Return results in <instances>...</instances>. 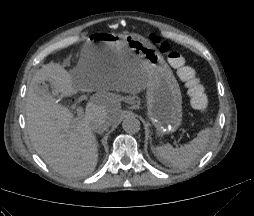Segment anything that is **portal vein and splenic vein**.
<instances>
[{
	"label": "portal vein and splenic vein",
	"mask_w": 254,
	"mask_h": 216,
	"mask_svg": "<svg viewBox=\"0 0 254 216\" xmlns=\"http://www.w3.org/2000/svg\"><path fill=\"white\" fill-rule=\"evenodd\" d=\"M76 111H77L78 117H82L83 116L84 109L82 107H78L76 109Z\"/></svg>",
	"instance_id": "portal-vein-and-splenic-vein-1"
}]
</instances>
